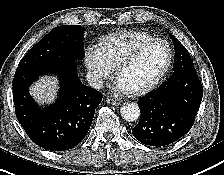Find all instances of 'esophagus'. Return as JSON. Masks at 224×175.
<instances>
[{
  "label": "esophagus",
  "mask_w": 224,
  "mask_h": 175,
  "mask_svg": "<svg viewBox=\"0 0 224 175\" xmlns=\"http://www.w3.org/2000/svg\"><path fill=\"white\" fill-rule=\"evenodd\" d=\"M106 102L109 104V105H113V106H117L120 104V101L118 99H115V98H111V97H107L106 98Z\"/></svg>",
  "instance_id": "1"
}]
</instances>
